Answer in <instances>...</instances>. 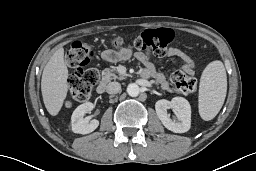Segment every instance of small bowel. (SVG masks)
Segmentation results:
<instances>
[{"label": "small bowel", "mask_w": 256, "mask_h": 171, "mask_svg": "<svg viewBox=\"0 0 256 171\" xmlns=\"http://www.w3.org/2000/svg\"><path fill=\"white\" fill-rule=\"evenodd\" d=\"M167 55L169 57H176L183 60L185 62L184 69L190 74L193 73L194 62L187 53L178 48L170 47L168 49ZM130 56L131 50L128 48H123L119 51L104 50L103 52H101V58L109 62L125 60L128 59ZM139 58L147 65L146 69L143 72V76L146 78H152L161 87L167 88L166 77L155 70V68L150 63L149 56L145 54H140Z\"/></svg>", "instance_id": "1"}]
</instances>
